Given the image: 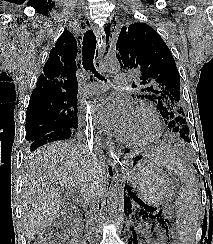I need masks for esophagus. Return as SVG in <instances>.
<instances>
[{
    "label": "esophagus",
    "mask_w": 213,
    "mask_h": 244,
    "mask_svg": "<svg viewBox=\"0 0 213 244\" xmlns=\"http://www.w3.org/2000/svg\"><path fill=\"white\" fill-rule=\"evenodd\" d=\"M95 32L98 34L97 28H95ZM106 49H107V41H106V39H104L103 43H102V47L99 49V52H98V55L96 58V63L98 66H100L102 63V57H103L104 53L106 52ZM109 152L113 158L116 157L117 155L120 156V154H121V152L118 150V148H116L113 144H110Z\"/></svg>",
    "instance_id": "obj_1"
}]
</instances>
